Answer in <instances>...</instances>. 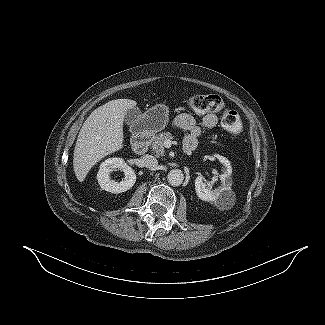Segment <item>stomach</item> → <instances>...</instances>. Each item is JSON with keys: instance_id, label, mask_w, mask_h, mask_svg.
<instances>
[{"instance_id": "obj_1", "label": "stomach", "mask_w": 325, "mask_h": 325, "mask_svg": "<svg viewBox=\"0 0 325 325\" xmlns=\"http://www.w3.org/2000/svg\"><path fill=\"white\" fill-rule=\"evenodd\" d=\"M169 121L168 107L162 104L155 105L146 111L136 123L138 132L156 133L163 130Z\"/></svg>"}]
</instances>
